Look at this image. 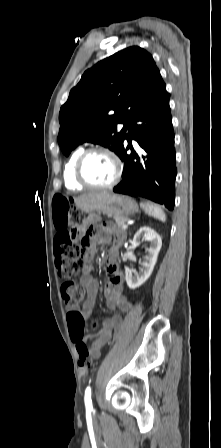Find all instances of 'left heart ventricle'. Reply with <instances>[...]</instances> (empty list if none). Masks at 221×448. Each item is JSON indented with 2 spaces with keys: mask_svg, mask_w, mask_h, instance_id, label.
<instances>
[{
  "mask_svg": "<svg viewBox=\"0 0 221 448\" xmlns=\"http://www.w3.org/2000/svg\"><path fill=\"white\" fill-rule=\"evenodd\" d=\"M84 176L89 182L96 185L108 184L115 175L112 159L105 154H93L85 162Z\"/></svg>",
  "mask_w": 221,
  "mask_h": 448,
  "instance_id": "left-heart-ventricle-1",
  "label": "left heart ventricle"
}]
</instances>
